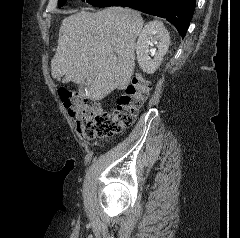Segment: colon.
Masks as SVG:
<instances>
[{"instance_id":"obj_1","label":"colon","mask_w":240,"mask_h":238,"mask_svg":"<svg viewBox=\"0 0 240 238\" xmlns=\"http://www.w3.org/2000/svg\"><path fill=\"white\" fill-rule=\"evenodd\" d=\"M149 90V81L142 74H135L112 112L102 110L98 104L90 105L74 90L60 88L58 94L69 114L76 119L79 134L95 139L112 137L131 126Z\"/></svg>"}]
</instances>
